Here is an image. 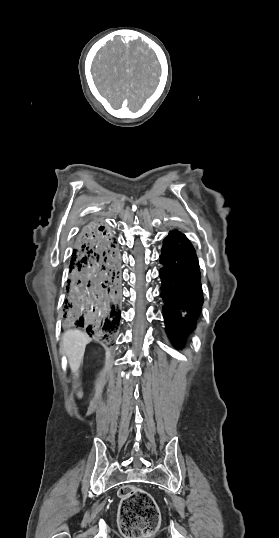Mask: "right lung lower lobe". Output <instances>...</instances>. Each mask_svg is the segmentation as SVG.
<instances>
[{
  "label": "right lung lower lobe",
  "mask_w": 279,
  "mask_h": 538,
  "mask_svg": "<svg viewBox=\"0 0 279 538\" xmlns=\"http://www.w3.org/2000/svg\"><path fill=\"white\" fill-rule=\"evenodd\" d=\"M62 323L91 335L110 333L120 321L121 270L114 234L91 220L79 232L69 266Z\"/></svg>",
  "instance_id": "right-lung-lower-lobe-1"
}]
</instances>
